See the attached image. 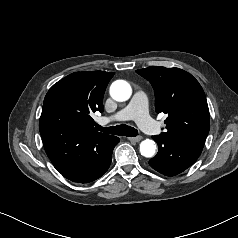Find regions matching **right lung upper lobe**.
<instances>
[{
	"instance_id": "right-lung-upper-lobe-1",
	"label": "right lung upper lobe",
	"mask_w": 238,
	"mask_h": 238,
	"mask_svg": "<svg viewBox=\"0 0 238 238\" xmlns=\"http://www.w3.org/2000/svg\"><path fill=\"white\" fill-rule=\"evenodd\" d=\"M114 72H75L45 96L39 130L44 149L61 174L90 162L112 136L96 132L91 114L103 111V96Z\"/></svg>"
}]
</instances>
